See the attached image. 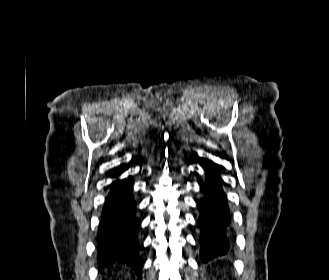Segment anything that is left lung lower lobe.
Returning <instances> with one entry per match:
<instances>
[{
  "instance_id": "1",
  "label": "left lung lower lobe",
  "mask_w": 329,
  "mask_h": 280,
  "mask_svg": "<svg viewBox=\"0 0 329 280\" xmlns=\"http://www.w3.org/2000/svg\"><path fill=\"white\" fill-rule=\"evenodd\" d=\"M206 183L201 186L204 194L198 208L201 212L198 220L201 236V258L203 262L228 252V226L230 224L227 198L220 186V177L215 165L207 161L203 165Z\"/></svg>"
}]
</instances>
